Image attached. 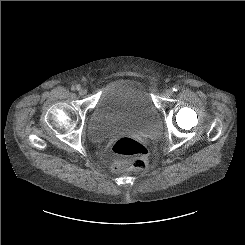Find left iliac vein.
Masks as SVG:
<instances>
[{"instance_id": "4c4485c4", "label": "left iliac vein", "mask_w": 245, "mask_h": 245, "mask_svg": "<svg viewBox=\"0 0 245 245\" xmlns=\"http://www.w3.org/2000/svg\"><path fill=\"white\" fill-rule=\"evenodd\" d=\"M165 95H166L167 97L172 96V95H173V90H172V89H167L166 92H165Z\"/></svg>"}]
</instances>
